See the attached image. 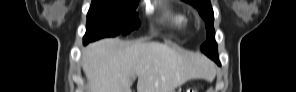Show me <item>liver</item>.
Returning <instances> with one entry per match:
<instances>
[{
    "instance_id": "6515ba94",
    "label": "liver",
    "mask_w": 296,
    "mask_h": 92,
    "mask_svg": "<svg viewBox=\"0 0 296 92\" xmlns=\"http://www.w3.org/2000/svg\"><path fill=\"white\" fill-rule=\"evenodd\" d=\"M82 68L91 92H173L190 79H208L213 64L204 55L159 42L107 38L83 49Z\"/></svg>"
}]
</instances>
